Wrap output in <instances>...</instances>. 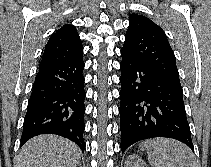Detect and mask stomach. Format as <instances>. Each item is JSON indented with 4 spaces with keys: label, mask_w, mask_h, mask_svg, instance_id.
I'll list each match as a JSON object with an SVG mask.
<instances>
[{
    "label": "stomach",
    "mask_w": 211,
    "mask_h": 167,
    "mask_svg": "<svg viewBox=\"0 0 211 167\" xmlns=\"http://www.w3.org/2000/svg\"><path fill=\"white\" fill-rule=\"evenodd\" d=\"M144 147H146V148H147V147H148V146H147V144H145V145H144Z\"/></svg>",
    "instance_id": "1"
}]
</instances>
